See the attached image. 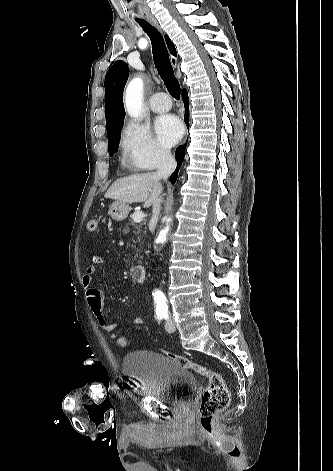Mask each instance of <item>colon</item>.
Instances as JSON below:
<instances>
[{"mask_svg": "<svg viewBox=\"0 0 333 471\" xmlns=\"http://www.w3.org/2000/svg\"><path fill=\"white\" fill-rule=\"evenodd\" d=\"M87 228L90 232H95L98 229V221L91 219L87 223ZM114 340L116 345L122 348L126 347L128 344L127 339L121 335H117ZM163 354L182 368L191 370L197 375L207 379L208 386L202 395L199 409V425L202 432L207 434L211 433L214 428L216 416L223 411L230 402V393L223 377L219 373L211 371L205 366L195 363L184 356L166 351H164Z\"/></svg>", "mask_w": 333, "mask_h": 471, "instance_id": "colon-1", "label": "colon"}]
</instances>
